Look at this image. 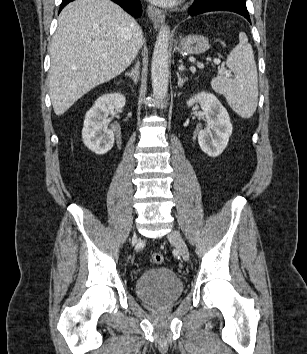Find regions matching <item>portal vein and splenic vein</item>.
Instances as JSON below:
<instances>
[{"instance_id":"portal-vein-and-splenic-vein-1","label":"portal vein and splenic vein","mask_w":307,"mask_h":354,"mask_svg":"<svg viewBox=\"0 0 307 354\" xmlns=\"http://www.w3.org/2000/svg\"><path fill=\"white\" fill-rule=\"evenodd\" d=\"M107 55H108L107 53H104V54H103V57H107ZM220 62H221L220 59H214V64H215V65H219ZM220 73H223V74H225L226 76H231V73L228 72V71H223V70H221Z\"/></svg>"}]
</instances>
